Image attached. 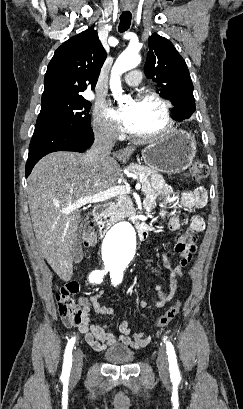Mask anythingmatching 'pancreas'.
<instances>
[{"label": "pancreas", "instance_id": "pancreas-1", "mask_svg": "<svg viewBox=\"0 0 243 409\" xmlns=\"http://www.w3.org/2000/svg\"><path fill=\"white\" fill-rule=\"evenodd\" d=\"M130 172L140 175L138 181L142 185L148 183V177L154 172L150 167H146L138 164H131L127 168ZM134 208L131 198L126 194H120L116 198V203H111L104 214L108 218V223H115L126 217L132 216L134 214Z\"/></svg>", "mask_w": 243, "mask_h": 409}]
</instances>
